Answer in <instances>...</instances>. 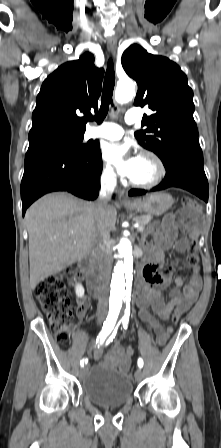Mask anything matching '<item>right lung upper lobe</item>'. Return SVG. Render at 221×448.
<instances>
[{
    "label": "right lung upper lobe",
    "mask_w": 221,
    "mask_h": 448,
    "mask_svg": "<svg viewBox=\"0 0 221 448\" xmlns=\"http://www.w3.org/2000/svg\"><path fill=\"white\" fill-rule=\"evenodd\" d=\"M104 70L86 52L78 60L62 64L41 86L32 114L29 148L84 134L86 116L97 110Z\"/></svg>",
    "instance_id": "right-lung-upper-lobe-1"
}]
</instances>
